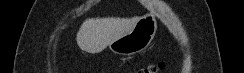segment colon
Wrapping results in <instances>:
<instances>
[{
	"label": "colon",
	"instance_id": "obj_1",
	"mask_svg": "<svg viewBox=\"0 0 244 73\" xmlns=\"http://www.w3.org/2000/svg\"><path fill=\"white\" fill-rule=\"evenodd\" d=\"M158 67L156 66H149L146 69H143L140 73H155L157 71Z\"/></svg>",
	"mask_w": 244,
	"mask_h": 73
}]
</instances>
